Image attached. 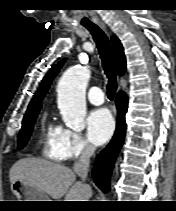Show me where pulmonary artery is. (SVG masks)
I'll return each instance as SVG.
<instances>
[{
    "instance_id": "obj_1",
    "label": "pulmonary artery",
    "mask_w": 176,
    "mask_h": 211,
    "mask_svg": "<svg viewBox=\"0 0 176 211\" xmlns=\"http://www.w3.org/2000/svg\"><path fill=\"white\" fill-rule=\"evenodd\" d=\"M87 96L89 102L93 105H101L105 101L102 89L97 86L91 87L87 93Z\"/></svg>"
}]
</instances>
